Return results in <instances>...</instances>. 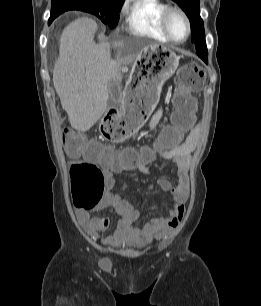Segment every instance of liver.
Returning <instances> with one entry per match:
<instances>
[{
  "mask_svg": "<svg viewBox=\"0 0 261 306\" xmlns=\"http://www.w3.org/2000/svg\"><path fill=\"white\" fill-rule=\"evenodd\" d=\"M96 31L97 24L91 18H78L68 24L60 37L53 71L54 88L69 122L72 128L82 132L89 130L106 112L108 83L121 82L120 65L131 63L147 48L127 59L113 60L111 47L125 48L127 43L119 40L96 44Z\"/></svg>",
  "mask_w": 261,
  "mask_h": 306,
  "instance_id": "obj_1",
  "label": "liver"
}]
</instances>
